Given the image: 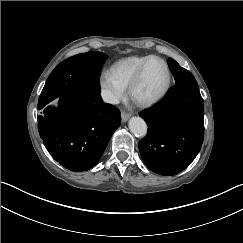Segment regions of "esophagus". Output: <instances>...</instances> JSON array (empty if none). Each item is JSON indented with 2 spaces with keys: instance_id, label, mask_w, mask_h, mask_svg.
I'll use <instances>...</instances> for the list:
<instances>
[{
  "instance_id": "1",
  "label": "esophagus",
  "mask_w": 243,
  "mask_h": 243,
  "mask_svg": "<svg viewBox=\"0 0 243 243\" xmlns=\"http://www.w3.org/2000/svg\"><path fill=\"white\" fill-rule=\"evenodd\" d=\"M129 117H130V113L125 112V111H123L121 113V119H122L123 122H126L129 119Z\"/></svg>"
}]
</instances>
